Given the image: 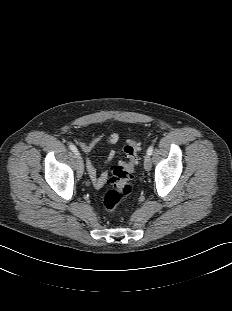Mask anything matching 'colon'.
Returning a JSON list of instances; mask_svg holds the SVG:
<instances>
[{
    "label": "colon",
    "instance_id": "colon-1",
    "mask_svg": "<svg viewBox=\"0 0 232 311\" xmlns=\"http://www.w3.org/2000/svg\"><path fill=\"white\" fill-rule=\"evenodd\" d=\"M140 143L136 139H128L123 147V153L128 162H119L112 169L109 180L112 188L108 190L102 199L106 211L113 212L117 206L132 192V179L135 166L138 163Z\"/></svg>",
    "mask_w": 232,
    "mask_h": 311
}]
</instances>
